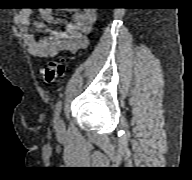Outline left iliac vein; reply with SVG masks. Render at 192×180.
<instances>
[{
  "instance_id": "4c4485c4",
  "label": "left iliac vein",
  "mask_w": 192,
  "mask_h": 180,
  "mask_svg": "<svg viewBox=\"0 0 192 180\" xmlns=\"http://www.w3.org/2000/svg\"><path fill=\"white\" fill-rule=\"evenodd\" d=\"M64 127H65L64 121L60 118V119L58 120V122H57V129H58L59 131H61V130L64 129Z\"/></svg>"
}]
</instances>
